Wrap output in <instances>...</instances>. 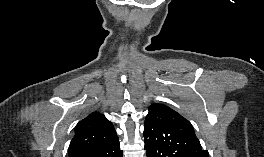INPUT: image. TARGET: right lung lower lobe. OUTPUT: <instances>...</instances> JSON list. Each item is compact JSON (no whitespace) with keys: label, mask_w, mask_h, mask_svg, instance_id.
Masks as SVG:
<instances>
[{"label":"right lung lower lobe","mask_w":264,"mask_h":157,"mask_svg":"<svg viewBox=\"0 0 264 157\" xmlns=\"http://www.w3.org/2000/svg\"><path fill=\"white\" fill-rule=\"evenodd\" d=\"M90 157H122V150L120 149L119 140L113 143L111 146L96 152Z\"/></svg>","instance_id":"98d812e1"}]
</instances>
